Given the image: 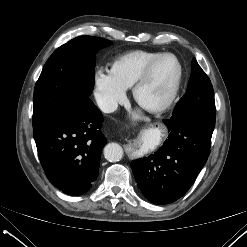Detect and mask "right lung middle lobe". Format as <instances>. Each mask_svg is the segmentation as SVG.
Segmentation results:
<instances>
[{"label": "right lung middle lobe", "instance_id": "obj_1", "mask_svg": "<svg viewBox=\"0 0 247 247\" xmlns=\"http://www.w3.org/2000/svg\"><path fill=\"white\" fill-rule=\"evenodd\" d=\"M112 42L79 36L60 46L47 60L34 89L33 129L46 123L78 96L94 87L95 54Z\"/></svg>", "mask_w": 247, "mask_h": 247}]
</instances>
